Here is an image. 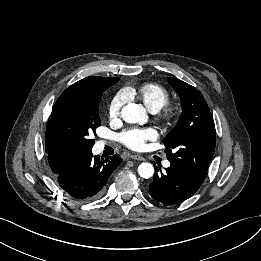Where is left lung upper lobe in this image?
<instances>
[{
    "label": "left lung upper lobe",
    "instance_id": "left-lung-upper-lobe-1",
    "mask_svg": "<svg viewBox=\"0 0 261 261\" xmlns=\"http://www.w3.org/2000/svg\"><path fill=\"white\" fill-rule=\"evenodd\" d=\"M168 82L179 94L182 114L176 127L162 141L167 148V159L203 182L216 144L212 115L196 88L177 78H168Z\"/></svg>",
    "mask_w": 261,
    "mask_h": 261
}]
</instances>
